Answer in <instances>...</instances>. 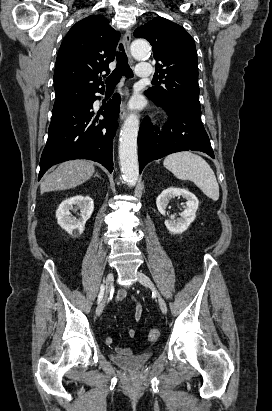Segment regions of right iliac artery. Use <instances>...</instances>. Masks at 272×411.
Returning a JSON list of instances; mask_svg holds the SVG:
<instances>
[{
	"label": "right iliac artery",
	"mask_w": 272,
	"mask_h": 411,
	"mask_svg": "<svg viewBox=\"0 0 272 411\" xmlns=\"http://www.w3.org/2000/svg\"><path fill=\"white\" fill-rule=\"evenodd\" d=\"M104 290H105V286L102 284L100 287L99 295H98V303H100L103 299Z\"/></svg>",
	"instance_id": "obj_1"
}]
</instances>
